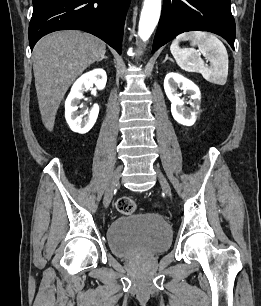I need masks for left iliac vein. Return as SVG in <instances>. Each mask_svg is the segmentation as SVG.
Segmentation results:
<instances>
[{
  "label": "left iliac vein",
  "mask_w": 261,
  "mask_h": 306,
  "mask_svg": "<svg viewBox=\"0 0 261 306\" xmlns=\"http://www.w3.org/2000/svg\"><path fill=\"white\" fill-rule=\"evenodd\" d=\"M156 171H157V175H158L160 184L162 186V189L165 191V193L168 196H171V188H170L168 181L166 180V178L163 176V174L158 168H156Z\"/></svg>",
  "instance_id": "1"
}]
</instances>
